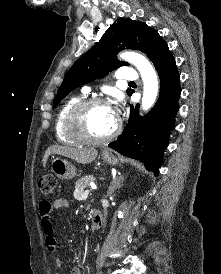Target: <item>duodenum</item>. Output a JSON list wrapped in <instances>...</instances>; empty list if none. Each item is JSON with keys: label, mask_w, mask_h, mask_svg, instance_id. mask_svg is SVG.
I'll return each mask as SVG.
<instances>
[{"label": "duodenum", "mask_w": 221, "mask_h": 274, "mask_svg": "<svg viewBox=\"0 0 221 274\" xmlns=\"http://www.w3.org/2000/svg\"><path fill=\"white\" fill-rule=\"evenodd\" d=\"M103 223V216L99 209H95L92 214V223H91V229L92 231H97L100 229Z\"/></svg>", "instance_id": "obj_1"}]
</instances>
